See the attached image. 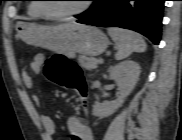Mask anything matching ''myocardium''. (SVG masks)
<instances>
[{
  "instance_id": "f54148a6",
  "label": "myocardium",
  "mask_w": 182,
  "mask_h": 140,
  "mask_svg": "<svg viewBox=\"0 0 182 140\" xmlns=\"http://www.w3.org/2000/svg\"><path fill=\"white\" fill-rule=\"evenodd\" d=\"M89 7H90L89 2H86V3H84L82 5L81 8H79V9H77L75 11L66 12V13H54V12H51L43 4H39L37 9L40 12V14L42 16L46 17V18H50V19H67V18L78 16V15L86 12L89 9Z\"/></svg>"
}]
</instances>
